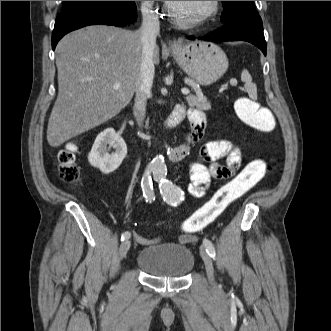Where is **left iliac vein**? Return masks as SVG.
<instances>
[{
	"mask_svg": "<svg viewBox=\"0 0 331 331\" xmlns=\"http://www.w3.org/2000/svg\"><path fill=\"white\" fill-rule=\"evenodd\" d=\"M200 254H201V257H202V259L204 261V264H205L207 277H208L210 283L212 285H215L214 268H213L212 259H211L210 255L207 253L205 247H203V246L200 247Z\"/></svg>",
	"mask_w": 331,
	"mask_h": 331,
	"instance_id": "1",
	"label": "left iliac vein"
}]
</instances>
